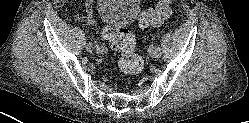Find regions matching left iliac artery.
<instances>
[{"mask_svg":"<svg viewBox=\"0 0 249 123\" xmlns=\"http://www.w3.org/2000/svg\"><path fill=\"white\" fill-rule=\"evenodd\" d=\"M160 56H161V48H160V46L158 45V46H157L156 57L158 58V57H160Z\"/></svg>","mask_w":249,"mask_h":123,"instance_id":"left-iliac-artery-1","label":"left iliac artery"}]
</instances>
